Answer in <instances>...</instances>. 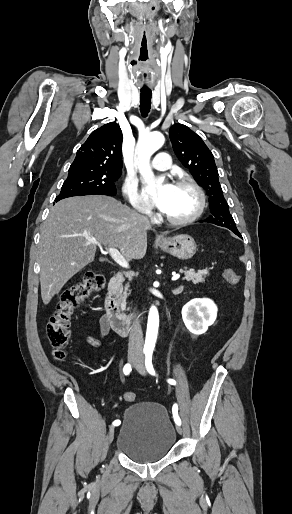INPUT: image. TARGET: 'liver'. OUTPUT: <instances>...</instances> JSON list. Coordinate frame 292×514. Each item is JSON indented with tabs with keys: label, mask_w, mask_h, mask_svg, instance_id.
Wrapping results in <instances>:
<instances>
[{
	"label": "liver",
	"mask_w": 292,
	"mask_h": 514,
	"mask_svg": "<svg viewBox=\"0 0 292 514\" xmlns=\"http://www.w3.org/2000/svg\"><path fill=\"white\" fill-rule=\"evenodd\" d=\"M40 230L41 298L49 304L72 276L93 262L100 244L119 248L127 262L144 258L151 226L115 198L75 196L53 206Z\"/></svg>",
	"instance_id": "1"
}]
</instances>
